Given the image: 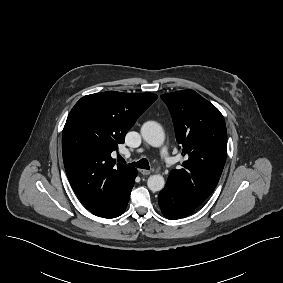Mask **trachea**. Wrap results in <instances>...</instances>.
<instances>
[{"instance_id": "obj_1", "label": "trachea", "mask_w": 283, "mask_h": 283, "mask_svg": "<svg viewBox=\"0 0 283 283\" xmlns=\"http://www.w3.org/2000/svg\"><path fill=\"white\" fill-rule=\"evenodd\" d=\"M119 159H120L121 162H124V159L122 157H120ZM130 165L135 166L137 168H142V169H149L150 168L148 160L145 159V158L141 159L137 162H133Z\"/></svg>"}]
</instances>
